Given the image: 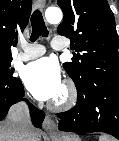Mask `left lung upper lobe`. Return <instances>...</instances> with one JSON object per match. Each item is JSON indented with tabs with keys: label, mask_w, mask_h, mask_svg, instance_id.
Listing matches in <instances>:
<instances>
[{
	"label": "left lung upper lobe",
	"mask_w": 119,
	"mask_h": 141,
	"mask_svg": "<svg viewBox=\"0 0 119 141\" xmlns=\"http://www.w3.org/2000/svg\"><path fill=\"white\" fill-rule=\"evenodd\" d=\"M58 5L64 13L58 33L78 52L63 64L76 87L101 74L119 75L118 35L107 0H59Z\"/></svg>",
	"instance_id": "left-lung-upper-lobe-1"
}]
</instances>
